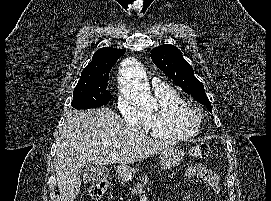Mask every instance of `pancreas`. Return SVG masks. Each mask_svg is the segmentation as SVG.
<instances>
[{"label": "pancreas", "instance_id": "pancreas-1", "mask_svg": "<svg viewBox=\"0 0 271 201\" xmlns=\"http://www.w3.org/2000/svg\"><path fill=\"white\" fill-rule=\"evenodd\" d=\"M149 181V178L147 176L142 178V183H136L135 187L132 190V195H138L141 194L144 190V186L147 184Z\"/></svg>", "mask_w": 271, "mask_h": 201}]
</instances>
